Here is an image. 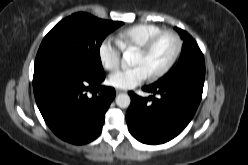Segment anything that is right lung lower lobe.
Listing matches in <instances>:
<instances>
[{"mask_svg":"<svg viewBox=\"0 0 248 165\" xmlns=\"http://www.w3.org/2000/svg\"><path fill=\"white\" fill-rule=\"evenodd\" d=\"M105 74L93 75L74 60H55L34 69L37 106L48 127L62 140L85 144L102 132L115 89L101 86ZM92 97L88 90H95Z\"/></svg>","mask_w":248,"mask_h":165,"instance_id":"1","label":"right lung lower lobe"}]
</instances>
